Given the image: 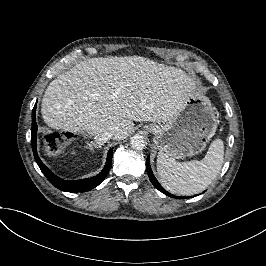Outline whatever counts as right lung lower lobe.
Returning <instances> with one entry per match:
<instances>
[{
  "mask_svg": "<svg viewBox=\"0 0 266 266\" xmlns=\"http://www.w3.org/2000/svg\"><path fill=\"white\" fill-rule=\"evenodd\" d=\"M37 103V101H36ZM35 111H36V104L32 110V138H31V145L33 149V154L36 163L40 167L41 171L44 173V175L47 177V179L58 189L66 192H85L88 190H91L98 186L107 176L111 165H112V153H113V148H111L108 151L107 155V160L106 164L103 168V170L94 177L91 178H86V179H80V180H75V181H68V180H63L59 178L58 176L54 175L40 160L38 154H37V149H36V133H37V124L35 120Z\"/></svg>",
  "mask_w": 266,
  "mask_h": 266,
  "instance_id": "right-lung-lower-lobe-1",
  "label": "right lung lower lobe"
}]
</instances>
